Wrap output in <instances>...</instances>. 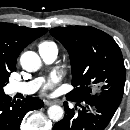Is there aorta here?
Listing matches in <instances>:
<instances>
[{"instance_id":"1","label":"aorta","mask_w":130,"mask_h":130,"mask_svg":"<svg viewBox=\"0 0 130 130\" xmlns=\"http://www.w3.org/2000/svg\"><path fill=\"white\" fill-rule=\"evenodd\" d=\"M21 66L28 72H35L41 67L39 55L33 51H27L20 58ZM48 116L53 121H59L63 117V109L58 105H52L48 108Z\"/></svg>"}]
</instances>
